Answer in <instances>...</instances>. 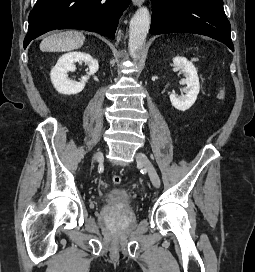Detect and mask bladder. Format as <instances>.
I'll use <instances>...</instances> for the list:
<instances>
[{
	"mask_svg": "<svg viewBox=\"0 0 255 272\" xmlns=\"http://www.w3.org/2000/svg\"><path fill=\"white\" fill-rule=\"evenodd\" d=\"M102 202L105 206L130 207L132 196L123 188H113L103 195Z\"/></svg>",
	"mask_w": 255,
	"mask_h": 272,
	"instance_id": "31cf9c89",
	"label": "bladder"
}]
</instances>
